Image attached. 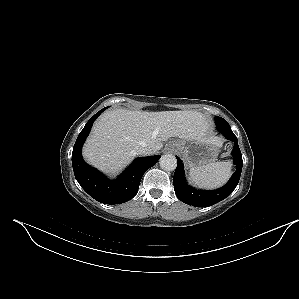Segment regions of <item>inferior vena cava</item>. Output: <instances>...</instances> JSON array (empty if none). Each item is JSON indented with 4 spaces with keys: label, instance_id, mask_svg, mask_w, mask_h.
Here are the masks:
<instances>
[{
    "label": "inferior vena cava",
    "instance_id": "obj_1",
    "mask_svg": "<svg viewBox=\"0 0 299 299\" xmlns=\"http://www.w3.org/2000/svg\"><path fill=\"white\" fill-rule=\"evenodd\" d=\"M151 153H152V151L148 147H142L138 150V154H140V155H149Z\"/></svg>",
    "mask_w": 299,
    "mask_h": 299
}]
</instances>
